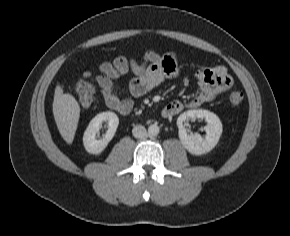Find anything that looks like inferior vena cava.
Here are the masks:
<instances>
[{"label":"inferior vena cava","mask_w":290,"mask_h":236,"mask_svg":"<svg viewBox=\"0 0 290 236\" xmlns=\"http://www.w3.org/2000/svg\"><path fill=\"white\" fill-rule=\"evenodd\" d=\"M132 134L135 138H143L147 135V131L144 126L136 125L132 130Z\"/></svg>","instance_id":"inferior-vena-cava-1"}]
</instances>
